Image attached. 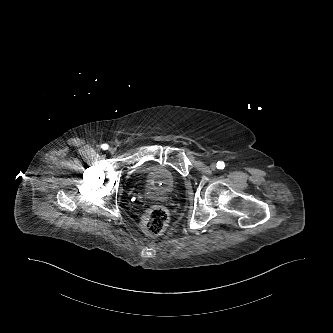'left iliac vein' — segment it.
Segmentation results:
<instances>
[{
  "label": "left iliac vein",
  "mask_w": 333,
  "mask_h": 333,
  "mask_svg": "<svg viewBox=\"0 0 333 333\" xmlns=\"http://www.w3.org/2000/svg\"><path fill=\"white\" fill-rule=\"evenodd\" d=\"M216 167H217V165H216L215 162H213V163L210 164V168H211L212 170H215Z\"/></svg>",
  "instance_id": "obj_1"
}]
</instances>
